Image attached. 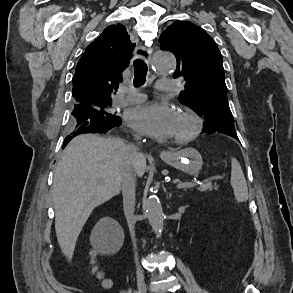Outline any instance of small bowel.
Here are the masks:
<instances>
[{"label":"small bowel","mask_w":293,"mask_h":293,"mask_svg":"<svg viewBox=\"0 0 293 293\" xmlns=\"http://www.w3.org/2000/svg\"><path fill=\"white\" fill-rule=\"evenodd\" d=\"M103 286H104L105 288H111V287H112V281H111L110 279H105V280L103 281Z\"/></svg>","instance_id":"small-bowel-1"}]
</instances>
